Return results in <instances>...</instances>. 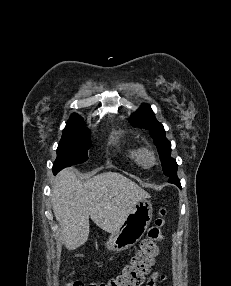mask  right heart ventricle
I'll use <instances>...</instances> for the list:
<instances>
[{
  "instance_id": "obj_1",
  "label": "right heart ventricle",
  "mask_w": 231,
  "mask_h": 286,
  "mask_svg": "<svg viewBox=\"0 0 231 286\" xmlns=\"http://www.w3.org/2000/svg\"><path fill=\"white\" fill-rule=\"evenodd\" d=\"M142 152L143 148L136 144H124V156L132 164L142 165Z\"/></svg>"
}]
</instances>
